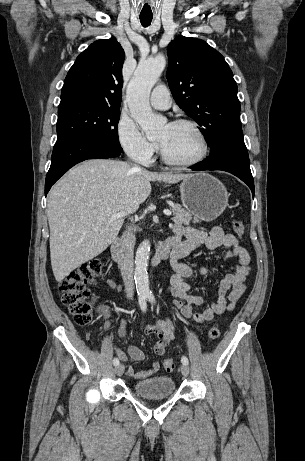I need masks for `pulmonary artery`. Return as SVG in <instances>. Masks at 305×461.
<instances>
[{
    "instance_id": "pulmonary-artery-1",
    "label": "pulmonary artery",
    "mask_w": 305,
    "mask_h": 461,
    "mask_svg": "<svg viewBox=\"0 0 305 461\" xmlns=\"http://www.w3.org/2000/svg\"><path fill=\"white\" fill-rule=\"evenodd\" d=\"M150 103L156 109H168L172 103L168 88L163 84L156 86L151 93Z\"/></svg>"
}]
</instances>
